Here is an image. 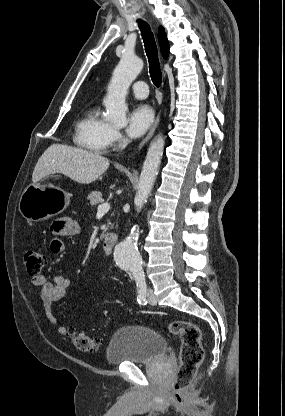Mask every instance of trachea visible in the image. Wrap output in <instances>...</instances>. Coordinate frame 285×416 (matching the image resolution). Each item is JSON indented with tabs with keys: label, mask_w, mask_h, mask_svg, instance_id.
<instances>
[{
	"label": "trachea",
	"mask_w": 285,
	"mask_h": 416,
	"mask_svg": "<svg viewBox=\"0 0 285 416\" xmlns=\"http://www.w3.org/2000/svg\"><path fill=\"white\" fill-rule=\"evenodd\" d=\"M148 57L150 76L154 85L159 88L162 82V73L158 58V49L150 26L141 19H137Z\"/></svg>",
	"instance_id": "obj_1"
}]
</instances>
